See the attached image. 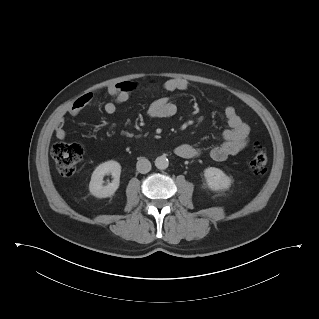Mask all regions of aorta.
Masks as SVG:
<instances>
[{
	"label": "aorta",
	"instance_id": "762f6f07",
	"mask_svg": "<svg viewBox=\"0 0 319 319\" xmlns=\"http://www.w3.org/2000/svg\"><path fill=\"white\" fill-rule=\"evenodd\" d=\"M168 165L169 161L165 156H159L155 159V166L160 170L166 169Z\"/></svg>",
	"mask_w": 319,
	"mask_h": 319
}]
</instances>
